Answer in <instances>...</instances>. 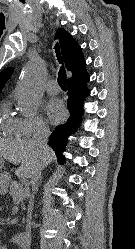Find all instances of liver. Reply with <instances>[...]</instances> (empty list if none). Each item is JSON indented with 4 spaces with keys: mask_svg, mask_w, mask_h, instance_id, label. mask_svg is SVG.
<instances>
[{
    "mask_svg": "<svg viewBox=\"0 0 135 249\" xmlns=\"http://www.w3.org/2000/svg\"><path fill=\"white\" fill-rule=\"evenodd\" d=\"M0 158L10 163L20 164L15 171L21 178H31L37 166L41 163L47 166L55 159V153L51 148L40 153L31 140L11 141L0 138Z\"/></svg>",
    "mask_w": 135,
    "mask_h": 249,
    "instance_id": "6515ba94",
    "label": "liver"
}]
</instances>
